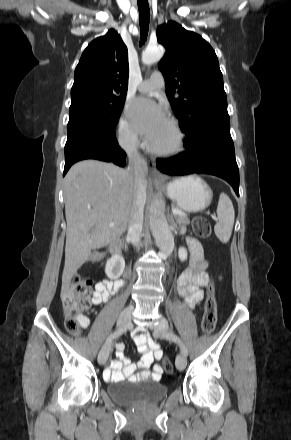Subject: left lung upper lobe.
<instances>
[{"label":"left lung upper lobe","instance_id":"5c2ea615","mask_svg":"<svg viewBox=\"0 0 291 440\" xmlns=\"http://www.w3.org/2000/svg\"><path fill=\"white\" fill-rule=\"evenodd\" d=\"M157 40L166 48L159 69L182 132L189 137L210 123L229 121L223 76L209 43L174 21L157 28Z\"/></svg>","mask_w":291,"mask_h":440}]
</instances>
